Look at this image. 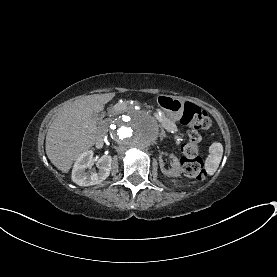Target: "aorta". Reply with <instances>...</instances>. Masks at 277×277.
I'll use <instances>...</instances> for the list:
<instances>
[{"label":"aorta","instance_id":"aorta-1","mask_svg":"<svg viewBox=\"0 0 277 277\" xmlns=\"http://www.w3.org/2000/svg\"><path fill=\"white\" fill-rule=\"evenodd\" d=\"M159 125L144 111H134L117 118L110 126L112 139L121 147L145 149L154 143Z\"/></svg>","mask_w":277,"mask_h":277}]
</instances>
